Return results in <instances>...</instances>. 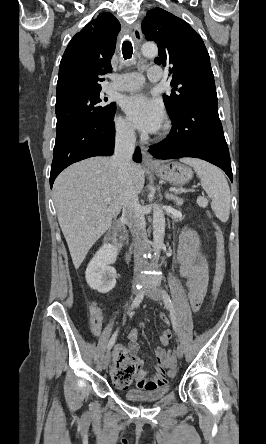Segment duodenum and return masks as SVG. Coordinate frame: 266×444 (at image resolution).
I'll return each mask as SVG.
<instances>
[{"label":"duodenum","instance_id":"1","mask_svg":"<svg viewBox=\"0 0 266 444\" xmlns=\"http://www.w3.org/2000/svg\"><path fill=\"white\" fill-rule=\"evenodd\" d=\"M114 238L116 243L121 246L124 240V229L122 224H118L114 230Z\"/></svg>","mask_w":266,"mask_h":444}]
</instances>
